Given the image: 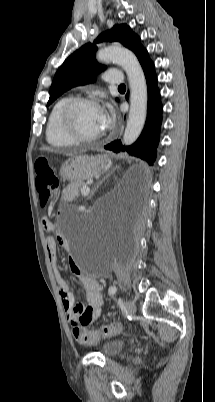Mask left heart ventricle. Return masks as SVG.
<instances>
[{"mask_svg": "<svg viewBox=\"0 0 215 402\" xmlns=\"http://www.w3.org/2000/svg\"><path fill=\"white\" fill-rule=\"evenodd\" d=\"M75 124L77 130L85 136L102 133L100 108L95 105L80 106L75 114Z\"/></svg>", "mask_w": 215, "mask_h": 402, "instance_id": "1", "label": "left heart ventricle"}]
</instances>
